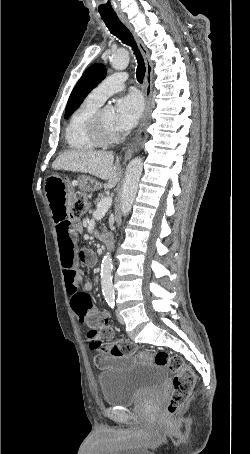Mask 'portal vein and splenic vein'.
<instances>
[{
	"instance_id": "1",
	"label": "portal vein and splenic vein",
	"mask_w": 250,
	"mask_h": 454,
	"mask_svg": "<svg viewBox=\"0 0 250 454\" xmlns=\"http://www.w3.org/2000/svg\"><path fill=\"white\" fill-rule=\"evenodd\" d=\"M112 205V197L108 196L103 198L98 204H97V209L94 215L100 216L102 214H105L109 208Z\"/></svg>"
}]
</instances>
